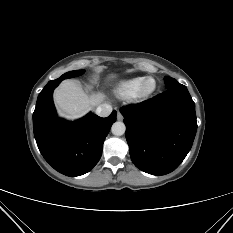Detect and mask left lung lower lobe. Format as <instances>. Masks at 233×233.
<instances>
[{
    "mask_svg": "<svg viewBox=\"0 0 233 233\" xmlns=\"http://www.w3.org/2000/svg\"><path fill=\"white\" fill-rule=\"evenodd\" d=\"M132 162L152 175L174 171L190 151L197 121L186 86L168 89L151 100L122 107Z\"/></svg>",
    "mask_w": 233,
    "mask_h": 233,
    "instance_id": "0a47b994",
    "label": "left lung lower lobe"
}]
</instances>
